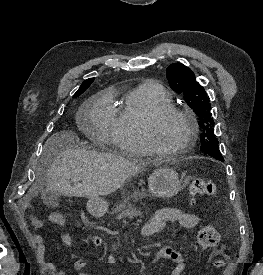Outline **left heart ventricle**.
Returning <instances> with one entry per match:
<instances>
[{"mask_svg": "<svg viewBox=\"0 0 263 275\" xmlns=\"http://www.w3.org/2000/svg\"><path fill=\"white\" fill-rule=\"evenodd\" d=\"M189 134L187 121L179 116H168L162 119L155 128V140L164 149L180 147Z\"/></svg>", "mask_w": 263, "mask_h": 275, "instance_id": "left-heart-ventricle-1", "label": "left heart ventricle"}]
</instances>
